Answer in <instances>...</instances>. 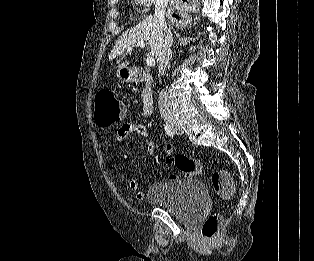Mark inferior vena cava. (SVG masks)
I'll return each mask as SVG.
<instances>
[{
	"mask_svg": "<svg viewBox=\"0 0 314 261\" xmlns=\"http://www.w3.org/2000/svg\"><path fill=\"white\" fill-rule=\"evenodd\" d=\"M168 1L169 0H156L155 5V17L158 19L160 27L163 29L166 38V45L159 61L158 75H163L165 73L166 67L169 64L170 59L172 58L171 46L173 39L170 30H168L167 28V24L164 17ZM158 106L160 114L164 119L169 120L173 118L171 105L168 100L167 92L165 90H161L159 92Z\"/></svg>",
	"mask_w": 314,
	"mask_h": 261,
	"instance_id": "1",
	"label": "inferior vena cava"
}]
</instances>
